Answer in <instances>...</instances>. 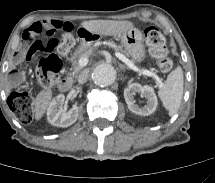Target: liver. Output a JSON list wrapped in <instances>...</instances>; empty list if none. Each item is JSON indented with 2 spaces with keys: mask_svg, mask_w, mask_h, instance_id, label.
<instances>
[{
  "mask_svg": "<svg viewBox=\"0 0 215 183\" xmlns=\"http://www.w3.org/2000/svg\"><path fill=\"white\" fill-rule=\"evenodd\" d=\"M81 27L92 34H98L100 36H116L128 31L134 27V24L130 21L90 20L82 22ZM51 99L52 90L50 89H44L38 93L35 99L36 120L41 119L44 115Z\"/></svg>",
  "mask_w": 215,
  "mask_h": 183,
  "instance_id": "liver-1",
  "label": "liver"
}]
</instances>
